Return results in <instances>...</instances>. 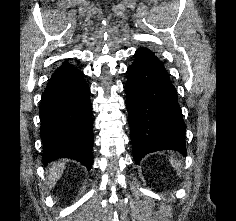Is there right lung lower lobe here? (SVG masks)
<instances>
[{"instance_id": "right-lung-lower-lobe-1", "label": "right lung lower lobe", "mask_w": 236, "mask_h": 221, "mask_svg": "<svg viewBox=\"0 0 236 221\" xmlns=\"http://www.w3.org/2000/svg\"><path fill=\"white\" fill-rule=\"evenodd\" d=\"M90 88L83 73L63 63L53 73L42 95L40 136L44 164L70 158L92 166V118Z\"/></svg>"}]
</instances>
